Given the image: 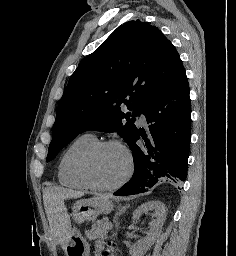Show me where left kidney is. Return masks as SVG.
<instances>
[{
	"mask_svg": "<svg viewBox=\"0 0 236 256\" xmlns=\"http://www.w3.org/2000/svg\"><path fill=\"white\" fill-rule=\"evenodd\" d=\"M149 210H154L156 220L149 224L150 234L144 240H138L137 244L129 248L131 256H144L145 252L150 250L156 238H159L166 216V208L162 202H145L133 212L134 220H139L142 214H148Z\"/></svg>",
	"mask_w": 236,
	"mask_h": 256,
	"instance_id": "5707ae66",
	"label": "left kidney"
}]
</instances>
